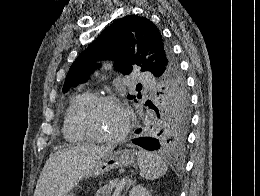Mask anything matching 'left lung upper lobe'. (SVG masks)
<instances>
[{"label":"left lung upper lobe","mask_w":260,"mask_h":196,"mask_svg":"<svg viewBox=\"0 0 260 196\" xmlns=\"http://www.w3.org/2000/svg\"><path fill=\"white\" fill-rule=\"evenodd\" d=\"M104 58L116 60L115 69L123 74L131 73L133 66H140L141 71L161 77L163 87L158 108L149 105L156 114H151L140 132L145 137L156 139L158 149L181 151L187 141L190 101L178 63L160 30L152 21L138 15L117 19L72 64L63 92L83 83L98 67L90 63ZM135 97L128 95L129 99Z\"/></svg>","instance_id":"5c2ea615"}]
</instances>
